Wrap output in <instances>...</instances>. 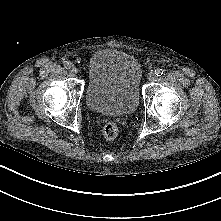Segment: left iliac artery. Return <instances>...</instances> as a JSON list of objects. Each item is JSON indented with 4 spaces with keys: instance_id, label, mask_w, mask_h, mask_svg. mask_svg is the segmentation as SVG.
Segmentation results:
<instances>
[{
    "instance_id": "1",
    "label": "left iliac artery",
    "mask_w": 221,
    "mask_h": 221,
    "mask_svg": "<svg viewBox=\"0 0 221 221\" xmlns=\"http://www.w3.org/2000/svg\"><path fill=\"white\" fill-rule=\"evenodd\" d=\"M163 73H164V70H163L162 68H157V69L155 70V74H156L157 76H162Z\"/></svg>"
}]
</instances>
